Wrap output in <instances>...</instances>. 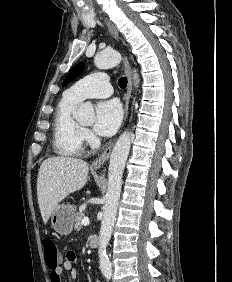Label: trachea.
Wrapping results in <instances>:
<instances>
[{
  "mask_svg": "<svg viewBox=\"0 0 232 282\" xmlns=\"http://www.w3.org/2000/svg\"><path fill=\"white\" fill-rule=\"evenodd\" d=\"M118 85L120 88L124 89L127 86V78L126 77H121L118 80Z\"/></svg>",
  "mask_w": 232,
  "mask_h": 282,
  "instance_id": "trachea-1",
  "label": "trachea"
}]
</instances>
